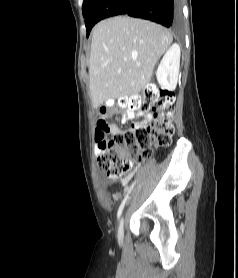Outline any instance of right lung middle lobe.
Returning a JSON list of instances; mask_svg holds the SVG:
<instances>
[{
    "label": "right lung middle lobe",
    "instance_id": "dd1d6c3e",
    "mask_svg": "<svg viewBox=\"0 0 238 278\" xmlns=\"http://www.w3.org/2000/svg\"><path fill=\"white\" fill-rule=\"evenodd\" d=\"M97 0H84L83 6H82V13L83 16H86V13L88 9L96 2Z\"/></svg>",
    "mask_w": 238,
    "mask_h": 278
}]
</instances>
